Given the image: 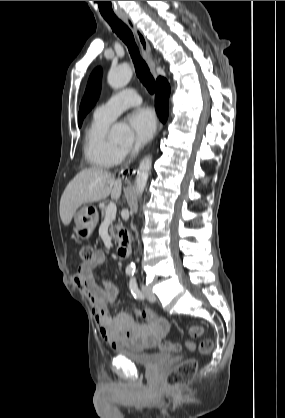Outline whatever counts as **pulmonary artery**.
Masks as SVG:
<instances>
[{
	"instance_id": "e3ab8cb5",
	"label": "pulmonary artery",
	"mask_w": 285,
	"mask_h": 418,
	"mask_svg": "<svg viewBox=\"0 0 285 418\" xmlns=\"http://www.w3.org/2000/svg\"><path fill=\"white\" fill-rule=\"evenodd\" d=\"M141 101V97L133 89H128L100 105L95 110L94 116L112 122L123 110L138 105Z\"/></svg>"
}]
</instances>
